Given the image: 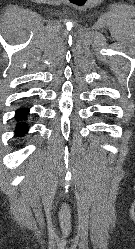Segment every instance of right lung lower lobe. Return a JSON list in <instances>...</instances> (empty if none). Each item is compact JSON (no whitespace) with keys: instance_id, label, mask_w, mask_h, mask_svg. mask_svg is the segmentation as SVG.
I'll list each match as a JSON object with an SVG mask.
<instances>
[{"instance_id":"obj_1","label":"right lung lower lobe","mask_w":135,"mask_h":249,"mask_svg":"<svg viewBox=\"0 0 135 249\" xmlns=\"http://www.w3.org/2000/svg\"><path fill=\"white\" fill-rule=\"evenodd\" d=\"M29 107H20L15 115V136L18 138L24 137L28 132L30 125L28 124Z\"/></svg>"}]
</instances>
